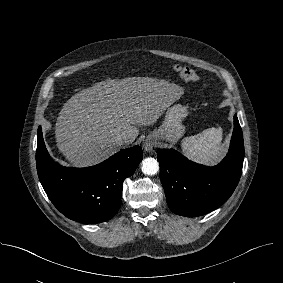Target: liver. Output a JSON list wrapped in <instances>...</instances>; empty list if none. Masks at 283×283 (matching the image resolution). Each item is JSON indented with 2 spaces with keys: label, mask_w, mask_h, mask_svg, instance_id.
<instances>
[{
  "label": "liver",
  "mask_w": 283,
  "mask_h": 283,
  "mask_svg": "<svg viewBox=\"0 0 283 283\" xmlns=\"http://www.w3.org/2000/svg\"><path fill=\"white\" fill-rule=\"evenodd\" d=\"M183 89L149 77L107 79L73 95L55 124L59 152L75 167L95 165L119 150L115 138L132 143L140 126L152 125Z\"/></svg>",
  "instance_id": "obj_1"
}]
</instances>
